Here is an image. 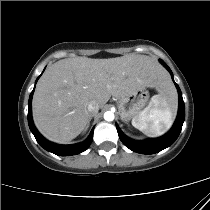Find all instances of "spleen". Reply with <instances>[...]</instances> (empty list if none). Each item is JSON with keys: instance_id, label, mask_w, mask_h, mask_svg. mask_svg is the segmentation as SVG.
Returning a JSON list of instances; mask_svg holds the SVG:
<instances>
[{"instance_id": "spleen-1", "label": "spleen", "mask_w": 210, "mask_h": 210, "mask_svg": "<svg viewBox=\"0 0 210 210\" xmlns=\"http://www.w3.org/2000/svg\"><path fill=\"white\" fill-rule=\"evenodd\" d=\"M174 88L166 85L163 92L154 95L148 106L132 119V125L150 137L164 134L172 125V104L174 99Z\"/></svg>"}]
</instances>
